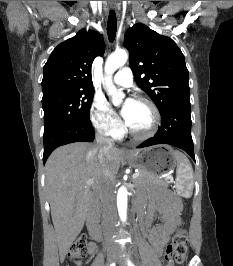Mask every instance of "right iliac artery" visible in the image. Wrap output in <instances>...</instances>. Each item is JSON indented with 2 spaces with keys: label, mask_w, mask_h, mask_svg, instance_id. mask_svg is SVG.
<instances>
[{
  "label": "right iliac artery",
  "mask_w": 233,
  "mask_h": 266,
  "mask_svg": "<svg viewBox=\"0 0 233 266\" xmlns=\"http://www.w3.org/2000/svg\"><path fill=\"white\" fill-rule=\"evenodd\" d=\"M110 266H115V263H112Z\"/></svg>",
  "instance_id": "right-iliac-artery-1"
}]
</instances>
